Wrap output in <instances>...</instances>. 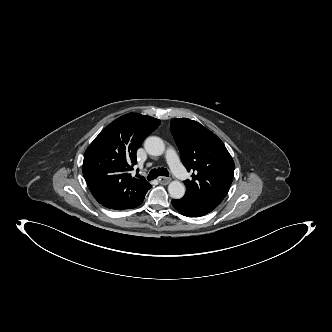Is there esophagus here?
I'll return each mask as SVG.
<instances>
[{"instance_id":"1","label":"esophagus","mask_w":332,"mask_h":332,"mask_svg":"<svg viewBox=\"0 0 332 332\" xmlns=\"http://www.w3.org/2000/svg\"><path fill=\"white\" fill-rule=\"evenodd\" d=\"M158 181H159V183H161V184H168V183L171 181V179L168 178V177H163V176H161V177H159Z\"/></svg>"}]
</instances>
